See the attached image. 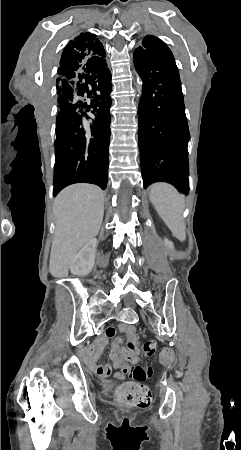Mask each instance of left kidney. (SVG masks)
Returning <instances> with one entry per match:
<instances>
[{
	"instance_id": "1",
	"label": "left kidney",
	"mask_w": 241,
	"mask_h": 450,
	"mask_svg": "<svg viewBox=\"0 0 241 450\" xmlns=\"http://www.w3.org/2000/svg\"><path fill=\"white\" fill-rule=\"evenodd\" d=\"M164 242H165L166 246H168V248H174L173 242H169V240H167V238H165Z\"/></svg>"
}]
</instances>
